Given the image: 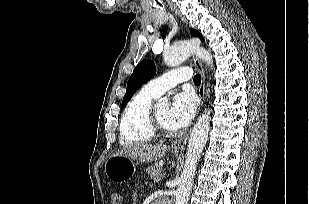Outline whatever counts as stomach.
Instances as JSON below:
<instances>
[{
  "label": "stomach",
  "mask_w": 309,
  "mask_h": 204,
  "mask_svg": "<svg viewBox=\"0 0 309 204\" xmlns=\"http://www.w3.org/2000/svg\"><path fill=\"white\" fill-rule=\"evenodd\" d=\"M172 153L178 156L180 151H172ZM136 166L135 160L129 157L112 155L105 163V174L112 181H125L135 174Z\"/></svg>",
  "instance_id": "1"
}]
</instances>
